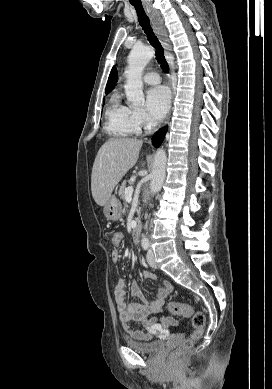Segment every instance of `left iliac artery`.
Masks as SVG:
<instances>
[{
    "label": "left iliac artery",
    "instance_id": "1",
    "mask_svg": "<svg viewBox=\"0 0 272 389\" xmlns=\"http://www.w3.org/2000/svg\"><path fill=\"white\" fill-rule=\"evenodd\" d=\"M149 246H150L149 240L148 239H143L142 240V247H143V249L147 250Z\"/></svg>",
    "mask_w": 272,
    "mask_h": 389
}]
</instances>
